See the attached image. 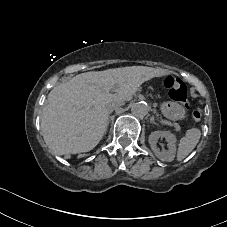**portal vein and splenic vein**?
Listing matches in <instances>:
<instances>
[{
  "label": "portal vein and splenic vein",
  "instance_id": "portal-vein-and-splenic-vein-1",
  "mask_svg": "<svg viewBox=\"0 0 227 227\" xmlns=\"http://www.w3.org/2000/svg\"><path fill=\"white\" fill-rule=\"evenodd\" d=\"M160 123L162 125H165V126H168V127H170L172 125L170 122L165 121V120H162ZM171 127L172 128L174 127L178 132L182 131V128L177 123H174Z\"/></svg>",
  "mask_w": 227,
  "mask_h": 227
}]
</instances>
